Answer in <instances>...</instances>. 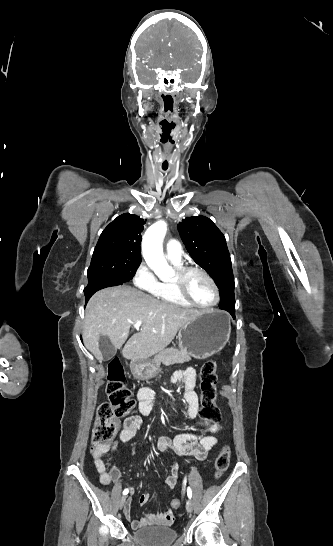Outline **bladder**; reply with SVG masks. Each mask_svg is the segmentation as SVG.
Instances as JSON below:
<instances>
[{
	"label": "bladder",
	"mask_w": 333,
	"mask_h": 546,
	"mask_svg": "<svg viewBox=\"0 0 333 546\" xmlns=\"http://www.w3.org/2000/svg\"><path fill=\"white\" fill-rule=\"evenodd\" d=\"M133 536L142 546H170L178 534L172 527L153 525L136 529Z\"/></svg>",
	"instance_id": "bladder-1"
}]
</instances>
